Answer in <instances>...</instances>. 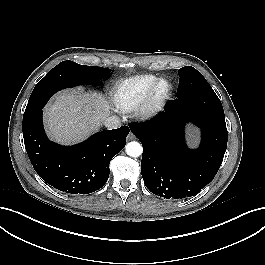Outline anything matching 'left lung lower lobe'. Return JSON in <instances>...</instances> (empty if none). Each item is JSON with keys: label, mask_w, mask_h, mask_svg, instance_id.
I'll return each instance as SVG.
<instances>
[{"label": "left lung lower lobe", "mask_w": 265, "mask_h": 265, "mask_svg": "<svg viewBox=\"0 0 265 265\" xmlns=\"http://www.w3.org/2000/svg\"><path fill=\"white\" fill-rule=\"evenodd\" d=\"M167 102L165 111L147 123L130 124L141 141V174L146 187L164 198L181 199L198 194L217 174L227 148L225 117L179 109ZM192 121L201 128V146L189 149L184 126Z\"/></svg>", "instance_id": "1"}]
</instances>
